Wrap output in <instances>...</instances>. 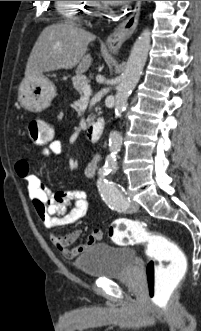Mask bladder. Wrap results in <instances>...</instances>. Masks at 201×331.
Returning a JSON list of instances; mask_svg holds the SVG:
<instances>
[{
	"mask_svg": "<svg viewBox=\"0 0 201 331\" xmlns=\"http://www.w3.org/2000/svg\"><path fill=\"white\" fill-rule=\"evenodd\" d=\"M136 257V251L130 247L96 243L78 256L74 265L88 278L113 279L126 276Z\"/></svg>",
	"mask_w": 201,
	"mask_h": 331,
	"instance_id": "1",
	"label": "bladder"
}]
</instances>
